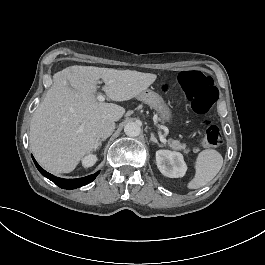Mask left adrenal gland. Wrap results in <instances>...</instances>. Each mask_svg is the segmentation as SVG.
Here are the masks:
<instances>
[{"label": "left adrenal gland", "instance_id": "a2214340", "mask_svg": "<svg viewBox=\"0 0 265 265\" xmlns=\"http://www.w3.org/2000/svg\"><path fill=\"white\" fill-rule=\"evenodd\" d=\"M150 140L153 141V142H155V143H157V145H158L159 147H163V144H160V143L158 142V140L156 139V137L154 136L153 133H151V138H150Z\"/></svg>", "mask_w": 265, "mask_h": 265}]
</instances>
